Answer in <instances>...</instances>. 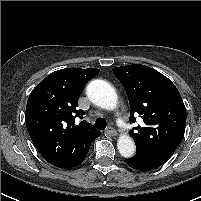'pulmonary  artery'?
I'll return each instance as SVG.
<instances>
[{
  "label": "pulmonary artery",
  "instance_id": "1",
  "mask_svg": "<svg viewBox=\"0 0 201 201\" xmlns=\"http://www.w3.org/2000/svg\"><path fill=\"white\" fill-rule=\"evenodd\" d=\"M118 124H119V126H120L121 128H123V127L125 126L124 122L121 121V120H119Z\"/></svg>",
  "mask_w": 201,
  "mask_h": 201
}]
</instances>
